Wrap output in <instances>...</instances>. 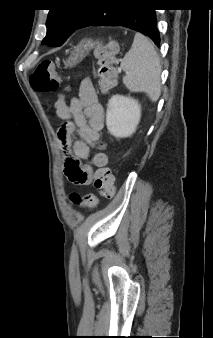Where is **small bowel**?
Masks as SVG:
<instances>
[{
	"mask_svg": "<svg viewBox=\"0 0 213 338\" xmlns=\"http://www.w3.org/2000/svg\"><path fill=\"white\" fill-rule=\"evenodd\" d=\"M56 115L65 121V124H73L74 127L62 126L59 131L61 146L71 155L68 158L87 160L91 155V149L99 139V130L103 124L104 108L98 102L93 84L89 80L81 82L79 92L68 105L64 95H59L54 104ZM78 135L79 138H75ZM65 167V164H64ZM71 181L79 185H88L91 181V171L84 169L78 172Z\"/></svg>",
	"mask_w": 213,
	"mask_h": 338,
	"instance_id": "obj_1",
	"label": "small bowel"
}]
</instances>
